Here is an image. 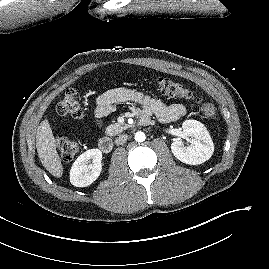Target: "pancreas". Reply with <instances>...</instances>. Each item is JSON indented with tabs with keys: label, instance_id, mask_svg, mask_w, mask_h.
Here are the masks:
<instances>
[{
	"label": "pancreas",
	"instance_id": "1",
	"mask_svg": "<svg viewBox=\"0 0 269 269\" xmlns=\"http://www.w3.org/2000/svg\"><path fill=\"white\" fill-rule=\"evenodd\" d=\"M128 127L129 125L127 124H119V123L111 124L106 128L105 133L108 136H114L118 133H121L123 130H126Z\"/></svg>",
	"mask_w": 269,
	"mask_h": 269
}]
</instances>
